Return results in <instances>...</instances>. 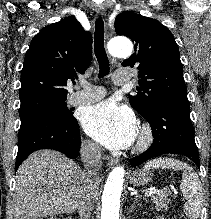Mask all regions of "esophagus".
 I'll list each match as a JSON object with an SVG mask.
<instances>
[{
    "label": "esophagus",
    "instance_id": "34e87169",
    "mask_svg": "<svg viewBox=\"0 0 211 219\" xmlns=\"http://www.w3.org/2000/svg\"><path fill=\"white\" fill-rule=\"evenodd\" d=\"M96 12H97V14H99V15H104L105 14V7L104 6H97L96 7ZM118 163V159H110L109 161H108V166L109 167H113V166H115L116 164Z\"/></svg>",
    "mask_w": 211,
    "mask_h": 219
}]
</instances>
